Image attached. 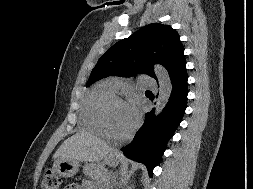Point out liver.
I'll use <instances>...</instances> for the list:
<instances>
[{
  "mask_svg": "<svg viewBox=\"0 0 253 189\" xmlns=\"http://www.w3.org/2000/svg\"><path fill=\"white\" fill-rule=\"evenodd\" d=\"M110 153L114 152L105 142L90 133L81 131L66 139L53 158L100 162Z\"/></svg>",
  "mask_w": 253,
  "mask_h": 189,
  "instance_id": "obj_1",
  "label": "liver"
}]
</instances>
